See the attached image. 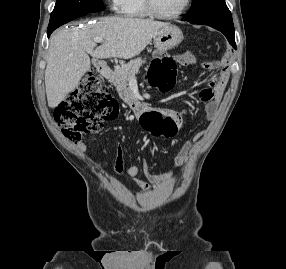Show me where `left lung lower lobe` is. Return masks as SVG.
Masks as SVG:
<instances>
[{"label":"left lung lower lobe","instance_id":"left-lung-lower-lobe-1","mask_svg":"<svg viewBox=\"0 0 286 269\" xmlns=\"http://www.w3.org/2000/svg\"><path fill=\"white\" fill-rule=\"evenodd\" d=\"M210 27H213L219 31H221L226 38L228 39L229 43L236 49V43H235V37H234V29L226 28L223 26H217V25H208Z\"/></svg>","mask_w":286,"mask_h":269}]
</instances>
